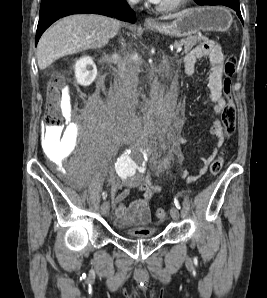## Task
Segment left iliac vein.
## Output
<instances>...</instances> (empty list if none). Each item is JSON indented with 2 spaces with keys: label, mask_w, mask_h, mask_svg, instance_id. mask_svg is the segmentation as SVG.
<instances>
[{
  "label": "left iliac vein",
  "mask_w": 267,
  "mask_h": 298,
  "mask_svg": "<svg viewBox=\"0 0 267 298\" xmlns=\"http://www.w3.org/2000/svg\"><path fill=\"white\" fill-rule=\"evenodd\" d=\"M170 215L174 220H178L179 219V211L176 207H172L170 209Z\"/></svg>",
  "instance_id": "left-iliac-vein-1"
}]
</instances>
